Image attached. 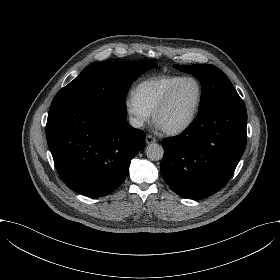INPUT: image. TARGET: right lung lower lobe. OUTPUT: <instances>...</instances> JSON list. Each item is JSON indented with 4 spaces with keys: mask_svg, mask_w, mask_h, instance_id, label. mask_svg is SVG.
<instances>
[{
    "mask_svg": "<svg viewBox=\"0 0 280 280\" xmlns=\"http://www.w3.org/2000/svg\"><path fill=\"white\" fill-rule=\"evenodd\" d=\"M46 136L62 181L90 197L115 190L145 145L144 132L132 128L127 116L69 97L53 99Z\"/></svg>",
    "mask_w": 280,
    "mask_h": 280,
    "instance_id": "right-lung-lower-lobe-1",
    "label": "right lung lower lobe"
}]
</instances>
